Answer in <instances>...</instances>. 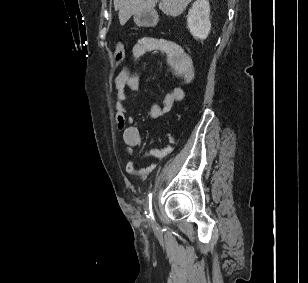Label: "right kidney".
Returning a JSON list of instances; mask_svg holds the SVG:
<instances>
[{
    "mask_svg": "<svg viewBox=\"0 0 308 283\" xmlns=\"http://www.w3.org/2000/svg\"><path fill=\"white\" fill-rule=\"evenodd\" d=\"M210 5L208 0H196L187 15V25L195 39L204 40L208 37L210 23Z\"/></svg>",
    "mask_w": 308,
    "mask_h": 283,
    "instance_id": "obj_1",
    "label": "right kidney"
}]
</instances>
